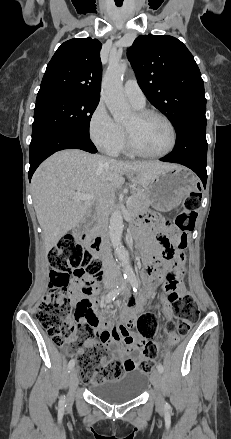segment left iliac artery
Returning <instances> with one entry per match:
<instances>
[{
    "label": "left iliac artery",
    "mask_w": 231,
    "mask_h": 439,
    "mask_svg": "<svg viewBox=\"0 0 231 439\" xmlns=\"http://www.w3.org/2000/svg\"><path fill=\"white\" fill-rule=\"evenodd\" d=\"M129 282H130V284H131V286H132V288H133V291H134V292H137V289H138V281H137L136 277H132V278H130V279H129ZM157 369H158V371H160V372L162 373L163 370H164V367H163L162 364H158ZM165 406L168 408V407H169V404L166 403Z\"/></svg>",
    "instance_id": "44dca946"
}]
</instances>
